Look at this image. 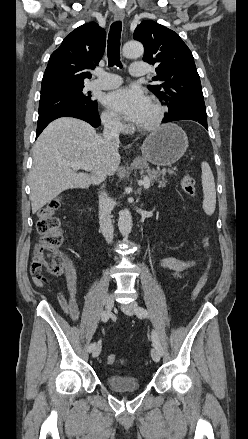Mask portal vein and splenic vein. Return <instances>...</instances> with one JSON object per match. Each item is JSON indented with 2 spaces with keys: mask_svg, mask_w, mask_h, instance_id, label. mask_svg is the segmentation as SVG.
<instances>
[{
  "mask_svg": "<svg viewBox=\"0 0 248 439\" xmlns=\"http://www.w3.org/2000/svg\"><path fill=\"white\" fill-rule=\"evenodd\" d=\"M67 165L71 166L74 170H78V169H83L85 171H91L92 167L88 164L85 163H80V162H68ZM140 185H143L144 188H149L150 186V180L148 179V177H144L143 181L139 182Z\"/></svg>",
  "mask_w": 248,
  "mask_h": 439,
  "instance_id": "obj_1",
  "label": "portal vein and splenic vein"
}]
</instances>
